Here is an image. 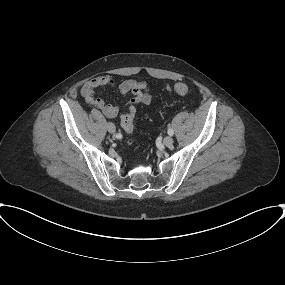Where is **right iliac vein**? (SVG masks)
I'll list each match as a JSON object with an SVG mask.
<instances>
[{
	"label": "right iliac vein",
	"instance_id": "63e3f726",
	"mask_svg": "<svg viewBox=\"0 0 285 285\" xmlns=\"http://www.w3.org/2000/svg\"><path fill=\"white\" fill-rule=\"evenodd\" d=\"M106 128H107V131L111 134H114L115 133V125L111 122H108L107 125H106Z\"/></svg>",
	"mask_w": 285,
	"mask_h": 285
}]
</instances>
